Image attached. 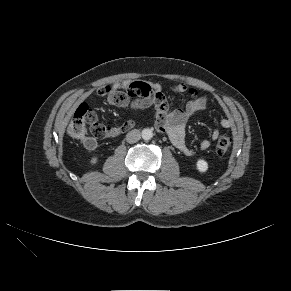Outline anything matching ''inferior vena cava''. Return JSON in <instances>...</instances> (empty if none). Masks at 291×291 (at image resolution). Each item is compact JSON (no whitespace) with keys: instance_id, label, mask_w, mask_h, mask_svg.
Wrapping results in <instances>:
<instances>
[{"instance_id":"1","label":"inferior vena cava","mask_w":291,"mask_h":291,"mask_svg":"<svg viewBox=\"0 0 291 291\" xmlns=\"http://www.w3.org/2000/svg\"><path fill=\"white\" fill-rule=\"evenodd\" d=\"M140 138H141V132L137 129L131 130L126 135V141L128 143H135V142L139 141Z\"/></svg>"}]
</instances>
